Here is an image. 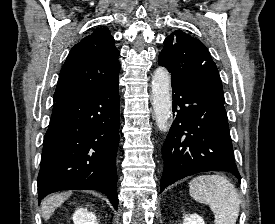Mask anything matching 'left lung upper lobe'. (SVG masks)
Returning <instances> with one entry per match:
<instances>
[{
    "mask_svg": "<svg viewBox=\"0 0 275 224\" xmlns=\"http://www.w3.org/2000/svg\"><path fill=\"white\" fill-rule=\"evenodd\" d=\"M159 65L171 73L172 84L192 85L224 99L218 69L203 43L182 31L164 41Z\"/></svg>",
    "mask_w": 275,
    "mask_h": 224,
    "instance_id": "left-lung-upper-lobe-1",
    "label": "left lung upper lobe"
}]
</instances>
